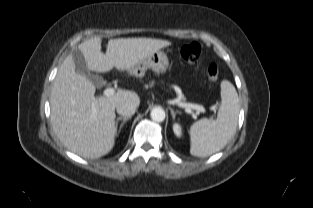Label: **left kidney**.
Wrapping results in <instances>:
<instances>
[{"mask_svg": "<svg viewBox=\"0 0 313 208\" xmlns=\"http://www.w3.org/2000/svg\"><path fill=\"white\" fill-rule=\"evenodd\" d=\"M173 131H174V133H175V135L177 137H181L182 136V128H181L180 124L175 123L173 125Z\"/></svg>", "mask_w": 313, "mask_h": 208, "instance_id": "5707ae66", "label": "left kidney"}]
</instances>
